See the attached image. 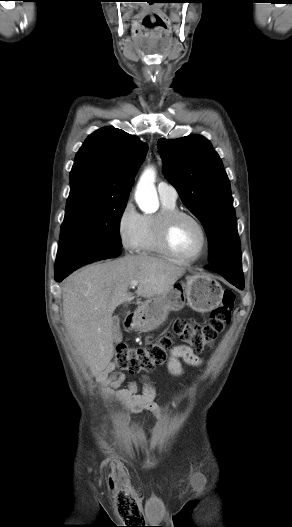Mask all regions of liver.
Listing matches in <instances>:
<instances>
[{"mask_svg":"<svg viewBox=\"0 0 292 527\" xmlns=\"http://www.w3.org/2000/svg\"><path fill=\"white\" fill-rule=\"evenodd\" d=\"M184 273V267L159 258L126 255L91 264L65 280V326L92 375L100 374L113 357L112 314L131 301V282L138 281L137 294L150 299L168 292Z\"/></svg>","mask_w":292,"mask_h":527,"instance_id":"1","label":"liver"}]
</instances>
